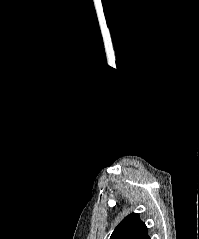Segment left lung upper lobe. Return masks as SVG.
<instances>
[{"label":"left lung upper lobe","instance_id":"5c2ea615","mask_svg":"<svg viewBox=\"0 0 199 239\" xmlns=\"http://www.w3.org/2000/svg\"><path fill=\"white\" fill-rule=\"evenodd\" d=\"M110 239H150L144 222L138 213L125 217L113 231Z\"/></svg>","mask_w":199,"mask_h":239}]
</instances>
